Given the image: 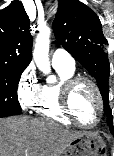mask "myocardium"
Listing matches in <instances>:
<instances>
[{"label": "myocardium", "instance_id": "1", "mask_svg": "<svg viewBox=\"0 0 114 156\" xmlns=\"http://www.w3.org/2000/svg\"><path fill=\"white\" fill-rule=\"evenodd\" d=\"M81 83H87L93 88L98 102L97 116L91 124H84L75 114L71 104L72 94L76 87ZM61 107L66 116L76 125L83 128H92L96 126L99 123L104 110L103 97L98 84L87 76H73L67 79L61 87Z\"/></svg>", "mask_w": 114, "mask_h": 156}]
</instances>
